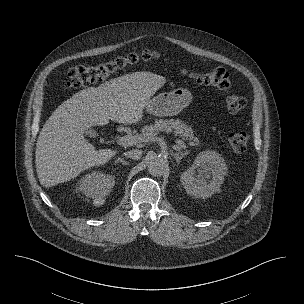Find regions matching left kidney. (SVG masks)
I'll return each instance as SVG.
<instances>
[{"label": "left kidney", "mask_w": 304, "mask_h": 304, "mask_svg": "<svg viewBox=\"0 0 304 304\" xmlns=\"http://www.w3.org/2000/svg\"><path fill=\"white\" fill-rule=\"evenodd\" d=\"M226 174L227 165L223 157L209 150L196 157L194 164L182 173L180 181L188 194L206 199L220 190Z\"/></svg>", "instance_id": "5707ae66"}]
</instances>
